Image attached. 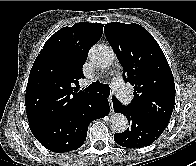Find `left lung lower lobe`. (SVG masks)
<instances>
[{
	"label": "left lung lower lobe",
	"mask_w": 196,
	"mask_h": 166,
	"mask_svg": "<svg viewBox=\"0 0 196 166\" xmlns=\"http://www.w3.org/2000/svg\"><path fill=\"white\" fill-rule=\"evenodd\" d=\"M116 113H122L130 122V127L123 133H115L114 140L126 148H141L153 143L166 128V124L148 119L122 105L115 97L112 98Z\"/></svg>",
	"instance_id": "0a47b994"
}]
</instances>
